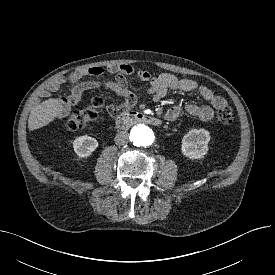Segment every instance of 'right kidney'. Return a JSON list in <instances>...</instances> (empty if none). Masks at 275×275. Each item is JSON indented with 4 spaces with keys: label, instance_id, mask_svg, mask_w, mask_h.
<instances>
[{
    "label": "right kidney",
    "instance_id": "obj_1",
    "mask_svg": "<svg viewBox=\"0 0 275 275\" xmlns=\"http://www.w3.org/2000/svg\"><path fill=\"white\" fill-rule=\"evenodd\" d=\"M98 147V142L95 138L88 135L77 137L73 141V148L79 157L90 156Z\"/></svg>",
    "mask_w": 275,
    "mask_h": 275
}]
</instances>
